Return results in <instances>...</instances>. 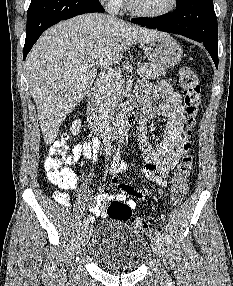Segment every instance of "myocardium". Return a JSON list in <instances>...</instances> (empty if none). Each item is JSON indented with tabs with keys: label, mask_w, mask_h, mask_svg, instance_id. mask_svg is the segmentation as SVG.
<instances>
[{
	"label": "myocardium",
	"mask_w": 233,
	"mask_h": 286,
	"mask_svg": "<svg viewBox=\"0 0 233 286\" xmlns=\"http://www.w3.org/2000/svg\"><path fill=\"white\" fill-rule=\"evenodd\" d=\"M126 2L129 10L132 13L145 18H160L166 16L173 12L177 7V0H171L170 5L165 10L160 12H148L138 8L133 0H126Z\"/></svg>",
	"instance_id": "obj_1"
}]
</instances>
